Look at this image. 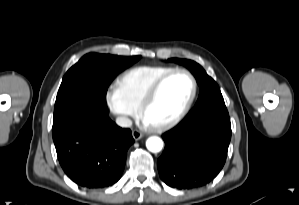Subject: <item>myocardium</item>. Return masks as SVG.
Instances as JSON below:
<instances>
[{
	"instance_id": "1",
	"label": "myocardium",
	"mask_w": 299,
	"mask_h": 205,
	"mask_svg": "<svg viewBox=\"0 0 299 205\" xmlns=\"http://www.w3.org/2000/svg\"><path fill=\"white\" fill-rule=\"evenodd\" d=\"M179 73H183L189 76V78L191 79L192 82V91L190 94L189 99L187 100V102L185 103V105L182 107V109L172 118L165 120L163 122L160 123H156V124H150V127L153 130L156 131H161V130H165L168 129L174 125H176L177 123H179L185 116L186 114L189 112L195 98H196V94H197V80L195 78V76L193 75V73L187 69L184 68H175L171 71H169L168 73L164 74L162 77H160L153 85L152 87L149 89V91L146 93L145 97L143 98L138 111H139V115L142 119H145V114L147 112V110L149 109V107L152 105L153 101L155 100L156 96L158 95L160 89L162 88V86L165 84V82L171 78L172 76L179 74Z\"/></svg>"
}]
</instances>
